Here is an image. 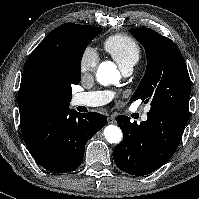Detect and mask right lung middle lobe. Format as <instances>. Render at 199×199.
Returning <instances> with one entry per match:
<instances>
[{"mask_svg": "<svg viewBox=\"0 0 199 199\" xmlns=\"http://www.w3.org/2000/svg\"><path fill=\"white\" fill-rule=\"evenodd\" d=\"M102 31L100 27L72 24L63 33L65 38L56 47L47 61L42 85L56 90L69 99L72 97V85L81 79V59L89 42Z\"/></svg>", "mask_w": 199, "mask_h": 199, "instance_id": "obj_1", "label": "right lung middle lobe"}]
</instances>
